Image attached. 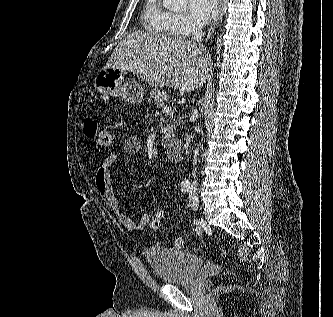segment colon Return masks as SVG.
Returning <instances> with one entry per match:
<instances>
[{
    "label": "colon",
    "mask_w": 333,
    "mask_h": 317,
    "mask_svg": "<svg viewBox=\"0 0 333 317\" xmlns=\"http://www.w3.org/2000/svg\"><path fill=\"white\" fill-rule=\"evenodd\" d=\"M83 132L88 138L90 146L94 151H103L110 146L111 139L109 133L99 125L96 119L86 118L83 121ZM165 215L166 211L163 208L157 209L151 216L149 228L152 231L158 230L165 218ZM173 244L177 249H184L186 247L185 240L180 237L175 238Z\"/></svg>",
    "instance_id": "colon-1"
}]
</instances>
